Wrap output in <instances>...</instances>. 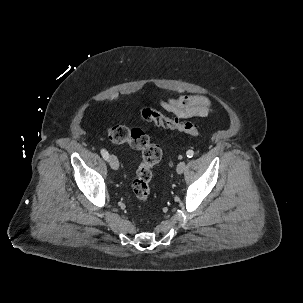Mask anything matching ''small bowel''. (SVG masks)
I'll use <instances>...</instances> for the list:
<instances>
[{"label":"small bowel","mask_w":303,"mask_h":303,"mask_svg":"<svg viewBox=\"0 0 303 303\" xmlns=\"http://www.w3.org/2000/svg\"><path fill=\"white\" fill-rule=\"evenodd\" d=\"M167 111L179 118L205 117L213 112L210 101L201 95H183L162 101Z\"/></svg>","instance_id":"obj_1"}]
</instances>
